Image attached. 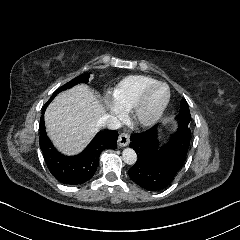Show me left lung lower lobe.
<instances>
[{
  "label": "left lung lower lobe",
  "mask_w": 240,
  "mask_h": 240,
  "mask_svg": "<svg viewBox=\"0 0 240 240\" xmlns=\"http://www.w3.org/2000/svg\"><path fill=\"white\" fill-rule=\"evenodd\" d=\"M178 125L177 132L162 146L156 126L130 136V147L137 154V162L128 174L143 189L158 191L166 188L183 165L190 146L191 130L184 122L179 121Z\"/></svg>",
  "instance_id": "left-lung-lower-lobe-1"
}]
</instances>
